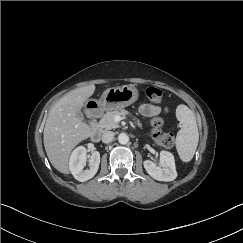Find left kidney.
Here are the masks:
<instances>
[{"label":"left kidney","mask_w":243,"mask_h":243,"mask_svg":"<svg viewBox=\"0 0 243 243\" xmlns=\"http://www.w3.org/2000/svg\"><path fill=\"white\" fill-rule=\"evenodd\" d=\"M143 164L147 173L155 180L168 182L177 177L174 156L168 151L160 152V166L150 160H145Z\"/></svg>","instance_id":"1"}]
</instances>
